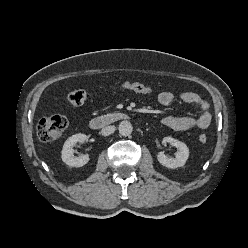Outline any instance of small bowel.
I'll return each instance as SVG.
<instances>
[{
    "label": "small bowel",
    "instance_id": "c3829d8e",
    "mask_svg": "<svg viewBox=\"0 0 248 248\" xmlns=\"http://www.w3.org/2000/svg\"><path fill=\"white\" fill-rule=\"evenodd\" d=\"M176 98H179L184 103L196 105L200 110V114L197 117L165 116L161 120L163 125L175 131H189L209 127L212 116L207 100L195 92H182L175 95L170 91H162L158 94V102L163 106L170 105Z\"/></svg>",
    "mask_w": 248,
    "mask_h": 248
}]
</instances>
